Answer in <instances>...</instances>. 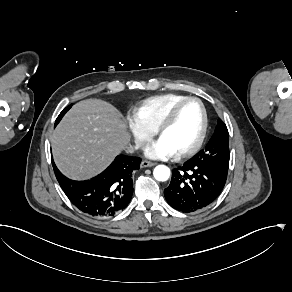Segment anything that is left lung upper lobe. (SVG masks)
Wrapping results in <instances>:
<instances>
[{
    "instance_id": "5c2ea615",
    "label": "left lung upper lobe",
    "mask_w": 292,
    "mask_h": 292,
    "mask_svg": "<svg viewBox=\"0 0 292 292\" xmlns=\"http://www.w3.org/2000/svg\"><path fill=\"white\" fill-rule=\"evenodd\" d=\"M229 134L224 122L219 119L213 136L206 147L199 151L194 158L202 159L208 163L229 164Z\"/></svg>"
}]
</instances>
